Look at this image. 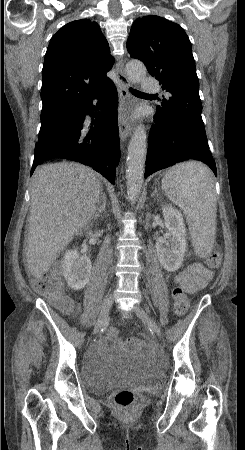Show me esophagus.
Masks as SVG:
<instances>
[{
	"label": "esophagus",
	"instance_id": "esophagus-1",
	"mask_svg": "<svg viewBox=\"0 0 245 450\" xmlns=\"http://www.w3.org/2000/svg\"><path fill=\"white\" fill-rule=\"evenodd\" d=\"M116 75L119 80V98H120V108L118 114V126L121 141L124 143L126 138L131 134L133 124L128 115L127 104L130 98L129 87L130 83L123 71V62L120 61L116 65Z\"/></svg>",
	"mask_w": 245,
	"mask_h": 450
}]
</instances>
